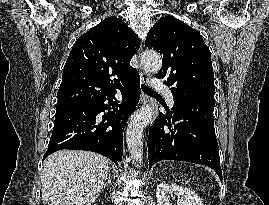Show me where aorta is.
<instances>
[{"label":"aorta","instance_id":"aorta-1","mask_svg":"<svg viewBox=\"0 0 269 205\" xmlns=\"http://www.w3.org/2000/svg\"><path fill=\"white\" fill-rule=\"evenodd\" d=\"M145 71L158 73L162 66L160 55L155 51H145L141 58ZM154 108L144 106L131 117L126 132L128 150L136 163H141L143 156V129L152 120ZM139 166V165H137Z\"/></svg>","mask_w":269,"mask_h":205}]
</instances>
